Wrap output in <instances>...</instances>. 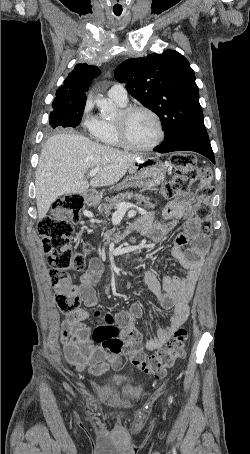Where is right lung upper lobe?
<instances>
[{
	"label": "right lung upper lobe",
	"instance_id": "obj_1",
	"mask_svg": "<svg viewBox=\"0 0 250 454\" xmlns=\"http://www.w3.org/2000/svg\"><path fill=\"white\" fill-rule=\"evenodd\" d=\"M101 71L94 65L86 63L77 64L71 73L64 80L56 91L54 100H62L66 102H82L86 101V92L94 78L99 76Z\"/></svg>",
	"mask_w": 250,
	"mask_h": 454
}]
</instances>
